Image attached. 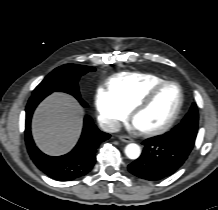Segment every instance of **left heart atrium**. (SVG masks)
<instances>
[{"instance_id":"39dd6f15","label":"left heart atrium","mask_w":218,"mask_h":210,"mask_svg":"<svg viewBox=\"0 0 218 210\" xmlns=\"http://www.w3.org/2000/svg\"><path fill=\"white\" fill-rule=\"evenodd\" d=\"M131 126L134 130H139L137 125L134 123V121L132 122Z\"/></svg>"}]
</instances>
